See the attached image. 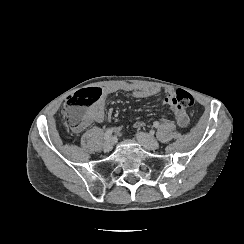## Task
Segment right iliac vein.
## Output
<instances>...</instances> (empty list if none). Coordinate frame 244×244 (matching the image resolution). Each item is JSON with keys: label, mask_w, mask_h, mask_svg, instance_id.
I'll list each match as a JSON object with an SVG mask.
<instances>
[{"label": "right iliac vein", "mask_w": 244, "mask_h": 244, "mask_svg": "<svg viewBox=\"0 0 244 244\" xmlns=\"http://www.w3.org/2000/svg\"><path fill=\"white\" fill-rule=\"evenodd\" d=\"M113 144H114V139L110 137L104 142V149L106 151H110L113 148Z\"/></svg>", "instance_id": "1"}]
</instances>
